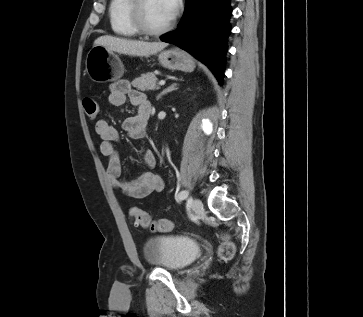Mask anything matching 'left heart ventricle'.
I'll use <instances>...</instances> for the list:
<instances>
[{
  "label": "left heart ventricle",
  "mask_w": 363,
  "mask_h": 317,
  "mask_svg": "<svg viewBox=\"0 0 363 317\" xmlns=\"http://www.w3.org/2000/svg\"><path fill=\"white\" fill-rule=\"evenodd\" d=\"M143 18L146 25L159 29L170 21V15L165 0H145Z\"/></svg>",
  "instance_id": "left-heart-ventricle-1"
}]
</instances>
